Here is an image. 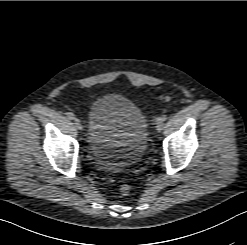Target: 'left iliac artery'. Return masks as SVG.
I'll list each match as a JSON object with an SVG mask.
<instances>
[{"mask_svg":"<svg viewBox=\"0 0 247 245\" xmlns=\"http://www.w3.org/2000/svg\"><path fill=\"white\" fill-rule=\"evenodd\" d=\"M168 116L167 115H162L161 117H159L157 120L160 122H164L165 120H167Z\"/></svg>","mask_w":247,"mask_h":245,"instance_id":"44dca946","label":"left iliac artery"}]
</instances>
